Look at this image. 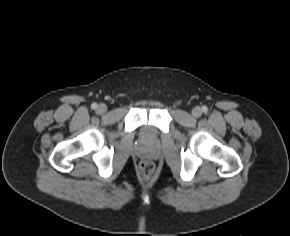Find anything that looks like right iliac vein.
Instances as JSON below:
<instances>
[{"mask_svg":"<svg viewBox=\"0 0 290 236\" xmlns=\"http://www.w3.org/2000/svg\"><path fill=\"white\" fill-rule=\"evenodd\" d=\"M97 111L98 113L100 114H104L106 111H107V106L105 104H100L98 107H97Z\"/></svg>","mask_w":290,"mask_h":236,"instance_id":"obj_1","label":"right iliac vein"}]
</instances>
